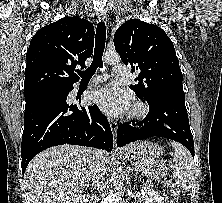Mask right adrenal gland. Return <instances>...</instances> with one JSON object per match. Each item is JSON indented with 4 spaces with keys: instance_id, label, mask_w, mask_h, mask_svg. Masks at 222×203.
I'll use <instances>...</instances> for the list:
<instances>
[{
    "instance_id": "right-adrenal-gland-1",
    "label": "right adrenal gland",
    "mask_w": 222,
    "mask_h": 203,
    "mask_svg": "<svg viewBox=\"0 0 222 203\" xmlns=\"http://www.w3.org/2000/svg\"><path fill=\"white\" fill-rule=\"evenodd\" d=\"M93 185L92 184H90V187H92ZM87 187H89V184L87 185Z\"/></svg>"
}]
</instances>
